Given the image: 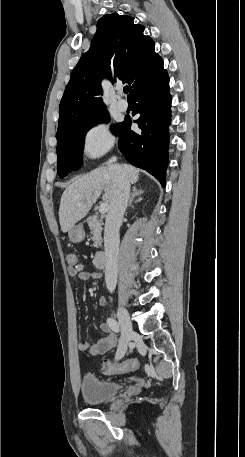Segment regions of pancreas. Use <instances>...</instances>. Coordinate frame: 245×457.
Instances as JSON below:
<instances>
[{"instance_id": "obj_1", "label": "pancreas", "mask_w": 245, "mask_h": 457, "mask_svg": "<svg viewBox=\"0 0 245 457\" xmlns=\"http://www.w3.org/2000/svg\"><path fill=\"white\" fill-rule=\"evenodd\" d=\"M87 222H88L89 229L93 235V237H91V239H93V241H94V247H96V249H99V247H101V245H102V237H101V233L103 231L102 224H101L100 220H98L97 216H88Z\"/></svg>"}]
</instances>
